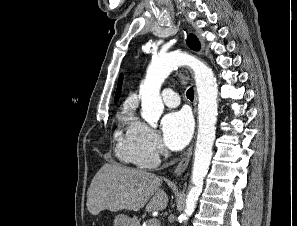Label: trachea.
<instances>
[{
	"mask_svg": "<svg viewBox=\"0 0 297 226\" xmlns=\"http://www.w3.org/2000/svg\"><path fill=\"white\" fill-rule=\"evenodd\" d=\"M187 97L192 101L193 100V97H194V90H193V87H191L190 89H188L187 91Z\"/></svg>",
	"mask_w": 297,
	"mask_h": 226,
	"instance_id": "trachea-1",
	"label": "trachea"
}]
</instances>
